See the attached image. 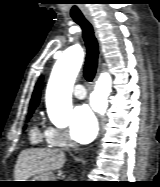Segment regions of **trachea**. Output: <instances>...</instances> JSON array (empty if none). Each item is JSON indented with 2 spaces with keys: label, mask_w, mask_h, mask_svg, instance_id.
<instances>
[{
  "label": "trachea",
  "mask_w": 160,
  "mask_h": 187,
  "mask_svg": "<svg viewBox=\"0 0 160 187\" xmlns=\"http://www.w3.org/2000/svg\"><path fill=\"white\" fill-rule=\"evenodd\" d=\"M73 20L82 28L83 39L86 45L83 75L88 82H91L94 79L98 65V42L94 35L92 24L85 17H73Z\"/></svg>",
  "instance_id": "obj_1"
}]
</instances>
